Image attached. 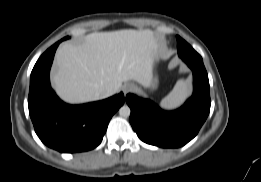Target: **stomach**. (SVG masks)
<instances>
[{
  "mask_svg": "<svg viewBox=\"0 0 261 182\" xmlns=\"http://www.w3.org/2000/svg\"><path fill=\"white\" fill-rule=\"evenodd\" d=\"M159 61V55L158 53H156L155 57H154V61H153V66ZM151 89H156L157 88V79L155 78L154 80H152L151 84L148 86Z\"/></svg>",
  "mask_w": 261,
  "mask_h": 182,
  "instance_id": "obj_1",
  "label": "stomach"
}]
</instances>
